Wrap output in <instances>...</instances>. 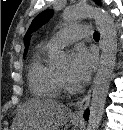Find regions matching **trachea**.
<instances>
[{
	"instance_id": "3493384b",
	"label": "trachea",
	"mask_w": 123,
	"mask_h": 130,
	"mask_svg": "<svg viewBox=\"0 0 123 130\" xmlns=\"http://www.w3.org/2000/svg\"><path fill=\"white\" fill-rule=\"evenodd\" d=\"M93 38H94L95 40H99V39H100V34H99L98 32H94Z\"/></svg>"
}]
</instances>
